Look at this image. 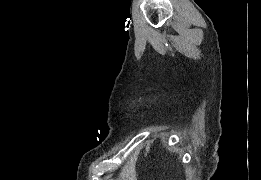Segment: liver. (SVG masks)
I'll return each instance as SVG.
<instances>
[{
	"label": "liver",
	"instance_id": "6515ba94",
	"mask_svg": "<svg viewBox=\"0 0 261 180\" xmlns=\"http://www.w3.org/2000/svg\"><path fill=\"white\" fill-rule=\"evenodd\" d=\"M137 158L138 152H134V154L130 156L128 162H126L125 166H123L122 170H120L119 180H136L135 166Z\"/></svg>",
	"mask_w": 261,
	"mask_h": 180
}]
</instances>
